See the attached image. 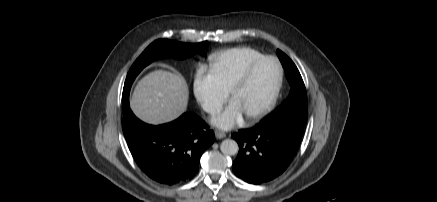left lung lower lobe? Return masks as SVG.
<instances>
[{
	"instance_id": "1",
	"label": "left lung lower lobe",
	"mask_w": 437,
	"mask_h": 202,
	"mask_svg": "<svg viewBox=\"0 0 437 202\" xmlns=\"http://www.w3.org/2000/svg\"><path fill=\"white\" fill-rule=\"evenodd\" d=\"M304 124L283 117L233 134L239 145L232 165L234 174L251 184H261L282 174L300 145Z\"/></svg>"
}]
</instances>
